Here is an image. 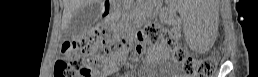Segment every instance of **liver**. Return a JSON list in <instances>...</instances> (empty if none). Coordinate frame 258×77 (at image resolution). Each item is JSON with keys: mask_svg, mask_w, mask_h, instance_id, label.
<instances>
[{"mask_svg": "<svg viewBox=\"0 0 258 77\" xmlns=\"http://www.w3.org/2000/svg\"><path fill=\"white\" fill-rule=\"evenodd\" d=\"M94 1L98 0H63L64 11L62 16V24L65 28L68 27L74 13L82 7H85Z\"/></svg>", "mask_w": 258, "mask_h": 77, "instance_id": "obj_1", "label": "liver"}]
</instances>
